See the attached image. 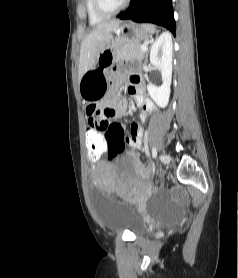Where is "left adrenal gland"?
Returning <instances> with one entry per match:
<instances>
[{
    "label": "left adrenal gland",
    "instance_id": "obj_1",
    "mask_svg": "<svg viewBox=\"0 0 238 278\" xmlns=\"http://www.w3.org/2000/svg\"><path fill=\"white\" fill-rule=\"evenodd\" d=\"M147 57H148V52H146L145 54V62L147 61Z\"/></svg>",
    "mask_w": 238,
    "mask_h": 278
}]
</instances>
